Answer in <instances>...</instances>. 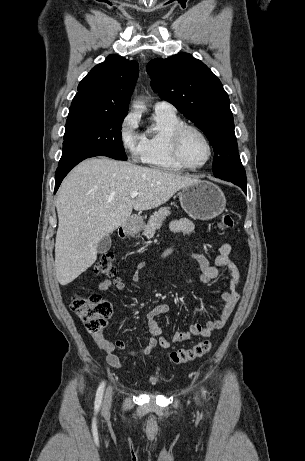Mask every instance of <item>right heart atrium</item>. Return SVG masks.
Instances as JSON below:
<instances>
[{"label":"right heart atrium","mask_w":305,"mask_h":461,"mask_svg":"<svg viewBox=\"0 0 305 461\" xmlns=\"http://www.w3.org/2000/svg\"><path fill=\"white\" fill-rule=\"evenodd\" d=\"M120 141L132 157L139 155L141 137L137 132V119L133 114H128L121 123Z\"/></svg>","instance_id":"1"}]
</instances>
